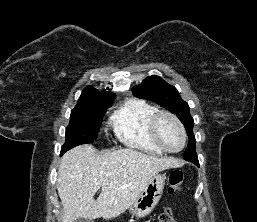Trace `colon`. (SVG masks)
<instances>
[{"label":"colon","mask_w":257,"mask_h":222,"mask_svg":"<svg viewBox=\"0 0 257 222\" xmlns=\"http://www.w3.org/2000/svg\"><path fill=\"white\" fill-rule=\"evenodd\" d=\"M184 182V172L180 169H174L168 176V193L171 195L179 194L182 190ZM156 222H175L174 215L171 210L163 211L157 218Z\"/></svg>","instance_id":"1"}]
</instances>
